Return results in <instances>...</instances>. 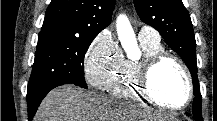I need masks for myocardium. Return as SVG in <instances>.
Returning a JSON list of instances; mask_svg holds the SVG:
<instances>
[{
	"mask_svg": "<svg viewBox=\"0 0 217 121\" xmlns=\"http://www.w3.org/2000/svg\"><path fill=\"white\" fill-rule=\"evenodd\" d=\"M167 61L174 63L182 71L187 82V96L185 101L180 105H168L164 103L154 94L152 90L150 81L152 73ZM137 83L142 96L156 105L171 111H180L185 109L191 103L194 95L193 81L188 68L181 59L167 52L158 53L154 56L144 58L139 62L137 70Z\"/></svg>",
	"mask_w": 217,
	"mask_h": 121,
	"instance_id": "obj_1",
	"label": "myocardium"
}]
</instances>
